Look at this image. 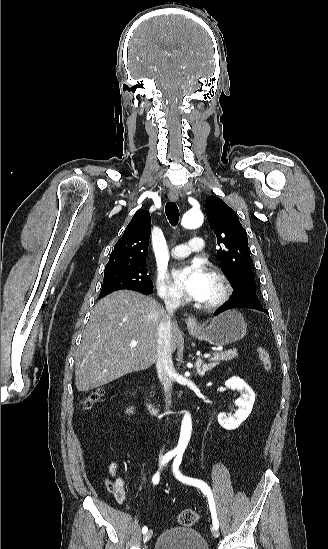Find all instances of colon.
I'll list each match as a JSON object with an SVG mask.
<instances>
[{"label":"colon","mask_w":328,"mask_h":549,"mask_svg":"<svg viewBox=\"0 0 328 549\" xmlns=\"http://www.w3.org/2000/svg\"><path fill=\"white\" fill-rule=\"evenodd\" d=\"M257 356L266 371H269L272 367V362L268 350L262 346L256 348ZM104 394L102 389H97L89 393L83 400V406L86 409L92 407V405L97 402ZM199 520V515L197 512L186 509L181 511L177 516V521L183 526H191Z\"/></svg>","instance_id":"obj_1"}]
</instances>
